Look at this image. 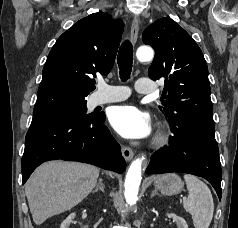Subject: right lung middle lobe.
I'll return each mask as SVG.
<instances>
[{
	"label": "right lung middle lobe",
	"instance_id": "1",
	"mask_svg": "<svg viewBox=\"0 0 238 228\" xmlns=\"http://www.w3.org/2000/svg\"><path fill=\"white\" fill-rule=\"evenodd\" d=\"M86 103L87 102L85 101L81 103L67 105L50 115L71 114L87 120L97 117L99 115L98 113H91V114L87 113Z\"/></svg>",
	"mask_w": 238,
	"mask_h": 228
}]
</instances>
